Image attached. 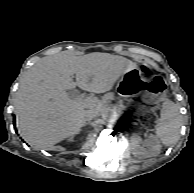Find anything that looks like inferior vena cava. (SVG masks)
I'll return each mask as SVG.
<instances>
[{"mask_svg": "<svg viewBox=\"0 0 194 193\" xmlns=\"http://www.w3.org/2000/svg\"><path fill=\"white\" fill-rule=\"evenodd\" d=\"M99 115V110L98 109H88L86 110V120H91L95 116Z\"/></svg>", "mask_w": 194, "mask_h": 193, "instance_id": "1", "label": "inferior vena cava"}]
</instances>
